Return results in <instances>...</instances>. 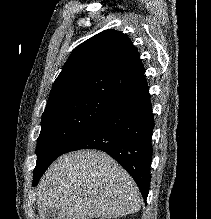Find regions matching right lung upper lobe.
Wrapping results in <instances>:
<instances>
[{
	"instance_id": "cb5924a9",
	"label": "right lung upper lobe",
	"mask_w": 211,
	"mask_h": 219,
	"mask_svg": "<svg viewBox=\"0 0 211 219\" xmlns=\"http://www.w3.org/2000/svg\"><path fill=\"white\" fill-rule=\"evenodd\" d=\"M148 88L139 53L129 38L105 30L76 47L55 80L46 107L81 97L116 105Z\"/></svg>"
}]
</instances>
